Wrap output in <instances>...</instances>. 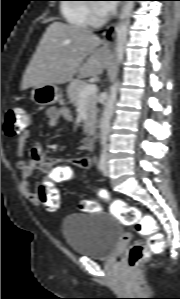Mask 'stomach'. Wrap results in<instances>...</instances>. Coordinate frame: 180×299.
<instances>
[{
    "mask_svg": "<svg viewBox=\"0 0 180 299\" xmlns=\"http://www.w3.org/2000/svg\"><path fill=\"white\" fill-rule=\"evenodd\" d=\"M31 99L40 106L52 105L62 98V92L55 85H41L32 87Z\"/></svg>",
    "mask_w": 180,
    "mask_h": 299,
    "instance_id": "1",
    "label": "stomach"
}]
</instances>
